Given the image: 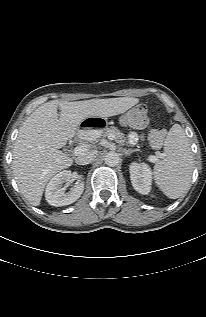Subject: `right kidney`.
I'll return each instance as SVG.
<instances>
[{
    "label": "right kidney",
    "instance_id": "ca27d5eb",
    "mask_svg": "<svg viewBox=\"0 0 206 317\" xmlns=\"http://www.w3.org/2000/svg\"><path fill=\"white\" fill-rule=\"evenodd\" d=\"M71 171L64 170L56 174L47 184L45 190V198L52 206H64L74 203L84 191V183L79 181L71 188L69 192H65L62 184L69 182L71 179Z\"/></svg>",
    "mask_w": 206,
    "mask_h": 317
}]
</instances>
